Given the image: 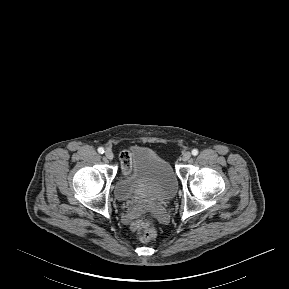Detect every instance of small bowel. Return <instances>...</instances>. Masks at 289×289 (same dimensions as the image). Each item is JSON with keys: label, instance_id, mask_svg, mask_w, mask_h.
Returning a JSON list of instances; mask_svg holds the SVG:
<instances>
[{"label": "small bowel", "instance_id": "c3829d8e", "mask_svg": "<svg viewBox=\"0 0 289 289\" xmlns=\"http://www.w3.org/2000/svg\"><path fill=\"white\" fill-rule=\"evenodd\" d=\"M121 161H122V170L124 173L129 172L130 170V151L129 150H125L122 152L121 154ZM132 229L133 231H135L136 233H139V226L137 224V220H133L132 221Z\"/></svg>", "mask_w": 289, "mask_h": 289}]
</instances>
